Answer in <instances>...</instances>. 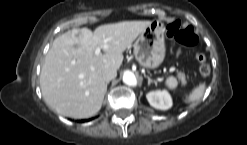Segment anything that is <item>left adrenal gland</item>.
Segmentation results:
<instances>
[{"label":"left adrenal gland","instance_id":"obj_1","mask_svg":"<svg viewBox=\"0 0 247 145\" xmlns=\"http://www.w3.org/2000/svg\"><path fill=\"white\" fill-rule=\"evenodd\" d=\"M144 77L148 79V85H150L151 83H154L155 85H157V82L155 80H152L149 76L144 75Z\"/></svg>","mask_w":247,"mask_h":145}]
</instances>
